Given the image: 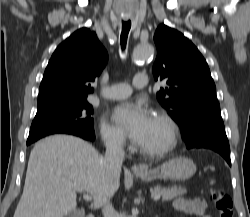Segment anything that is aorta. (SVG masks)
<instances>
[{
    "label": "aorta",
    "mask_w": 250,
    "mask_h": 217,
    "mask_svg": "<svg viewBox=\"0 0 250 217\" xmlns=\"http://www.w3.org/2000/svg\"><path fill=\"white\" fill-rule=\"evenodd\" d=\"M154 54V48L149 44H140L133 51L134 61H143L151 58Z\"/></svg>",
    "instance_id": "aorta-1"
}]
</instances>
